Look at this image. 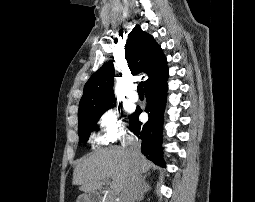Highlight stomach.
Segmentation results:
<instances>
[{
    "label": "stomach",
    "mask_w": 255,
    "mask_h": 202,
    "mask_svg": "<svg viewBox=\"0 0 255 202\" xmlns=\"http://www.w3.org/2000/svg\"><path fill=\"white\" fill-rule=\"evenodd\" d=\"M76 202H94V201L90 194L85 193V194L80 195L77 198Z\"/></svg>",
    "instance_id": "1"
}]
</instances>
